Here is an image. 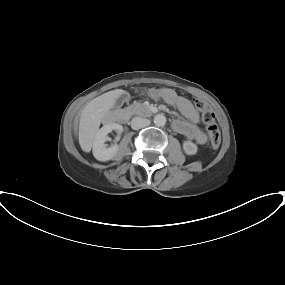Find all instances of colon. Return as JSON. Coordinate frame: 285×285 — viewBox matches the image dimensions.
<instances>
[{
	"instance_id": "5ec220e1",
	"label": "colon",
	"mask_w": 285,
	"mask_h": 285,
	"mask_svg": "<svg viewBox=\"0 0 285 285\" xmlns=\"http://www.w3.org/2000/svg\"><path fill=\"white\" fill-rule=\"evenodd\" d=\"M193 104L200 111L202 115L203 122L205 123L209 133L212 147L214 149L218 148L221 143V134L215 119L214 112L201 99L198 98L193 99Z\"/></svg>"
}]
</instances>
